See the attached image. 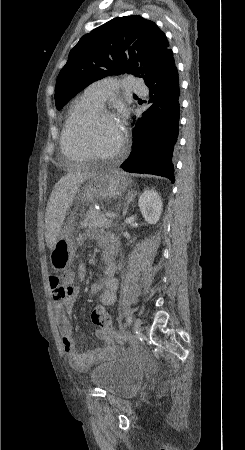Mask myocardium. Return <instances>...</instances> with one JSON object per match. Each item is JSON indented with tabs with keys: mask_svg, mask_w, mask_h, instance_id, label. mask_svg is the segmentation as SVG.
I'll return each instance as SVG.
<instances>
[{
	"mask_svg": "<svg viewBox=\"0 0 245 450\" xmlns=\"http://www.w3.org/2000/svg\"><path fill=\"white\" fill-rule=\"evenodd\" d=\"M101 119L114 120L111 113L99 108L94 113H92L86 120L82 133V144L85 148L89 159L92 160H107L121 157L126 149L125 137L122 135L120 146L111 153H101L97 151L93 144L92 134L95 124Z\"/></svg>",
	"mask_w": 245,
	"mask_h": 450,
	"instance_id": "1",
	"label": "myocardium"
}]
</instances>
